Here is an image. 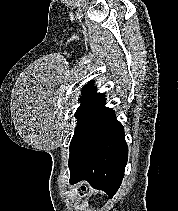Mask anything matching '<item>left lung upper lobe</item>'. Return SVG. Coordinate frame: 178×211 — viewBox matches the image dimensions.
Wrapping results in <instances>:
<instances>
[{
  "label": "left lung upper lobe",
  "instance_id": "obj_1",
  "mask_svg": "<svg viewBox=\"0 0 178 211\" xmlns=\"http://www.w3.org/2000/svg\"><path fill=\"white\" fill-rule=\"evenodd\" d=\"M81 105L75 113L77 126L70 142V154L78 147L95 123L105 112L104 94L96 93L93 82L83 87Z\"/></svg>",
  "mask_w": 178,
  "mask_h": 211
}]
</instances>
